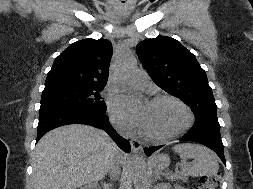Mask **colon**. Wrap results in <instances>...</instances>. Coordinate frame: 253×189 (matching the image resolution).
<instances>
[{
  "mask_svg": "<svg viewBox=\"0 0 253 189\" xmlns=\"http://www.w3.org/2000/svg\"><path fill=\"white\" fill-rule=\"evenodd\" d=\"M220 182L219 173L205 175L201 177L200 183L196 189H217Z\"/></svg>",
  "mask_w": 253,
  "mask_h": 189,
  "instance_id": "5ec220e1",
  "label": "colon"
}]
</instances>
